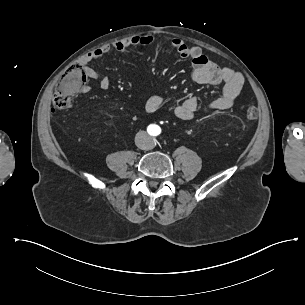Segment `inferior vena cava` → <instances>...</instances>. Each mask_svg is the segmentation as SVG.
<instances>
[{"instance_id":"602c4592","label":"inferior vena cava","mask_w":305,"mask_h":305,"mask_svg":"<svg viewBox=\"0 0 305 305\" xmlns=\"http://www.w3.org/2000/svg\"><path fill=\"white\" fill-rule=\"evenodd\" d=\"M135 145L142 150H148L153 147V141L145 131H139L135 136Z\"/></svg>"}]
</instances>
